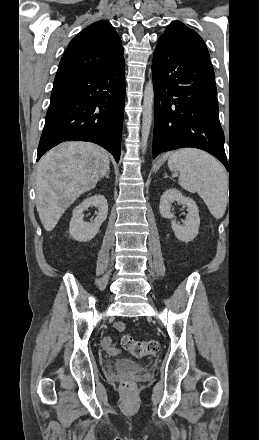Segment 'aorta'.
<instances>
[{"mask_svg":"<svg viewBox=\"0 0 259 440\" xmlns=\"http://www.w3.org/2000/svg\"><path fill=\"white\" fill-rule=\"evenodd\" d=\"M153 100L154 91L152 82L149 81L144 89V99H143V117H142V153H145L147 147L148 136L150 133L152 118H153Z\"/></svg>","mask_w":259,"mask_h":440,"instance_id":"1","label":"aorta"}]
</instances>
